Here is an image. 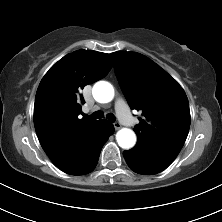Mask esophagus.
Wrapping results in <instances>:
<instances>
[{
	"instance_id": "obj_1",
	"label": "esophagus",
	"mask_w": 222,
	"mask_h": 222,
	"mask_svg": "<svg viewBox=\"0 0 222 222\" xmlns=\"http://www.w3.org/2000/svg\"><path fill=\"white\" fill-rule=\"evenodd\" d=\"M113 125L116 130L121 128V124L119 122H115Z\"/></svg>"
}]
</instances>
